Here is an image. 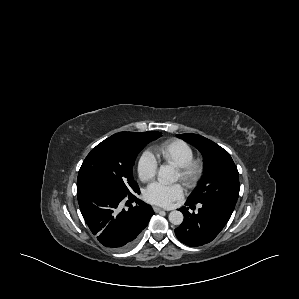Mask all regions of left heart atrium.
I'll return each mask as SVG.
<instances>
[{
    "mask_svg": "<svg viewBox=\"0 0 299 299\" xmlns=\"http://www.w3.org/2000/svg\"><path fill=\"white\" fill-rule=\"evenodd\" d=\"M183 195V188L180 184H164L161 182L151 183L146 191L145 198L153 204L170 206L174 201Z\"/></svg>",
    "mask_w": 299,
    "mask_h": 299,
    "instance_id": "39dd6f15",
    "label": "left heart atrium"
}]
</instances>
